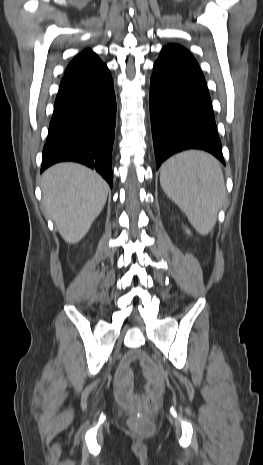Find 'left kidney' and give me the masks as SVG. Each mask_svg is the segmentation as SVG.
I'll list each match as a JSON object with an SVG mask.
<instances>
[{"label":"left kidney","mask_w":263,"mask_h":465,"mask_svg":"<svg viewBox=\"0 0 263 465\" xmlns=\"http://www.w3.org/2000/svg\"><path fill=\"white\" fill-rule=\"evenodd\" d=\"M186 232H187L188 234H190V231H189V230H186Z\"/></svg>","instance_id":"5707ae66"}]
</instances>
